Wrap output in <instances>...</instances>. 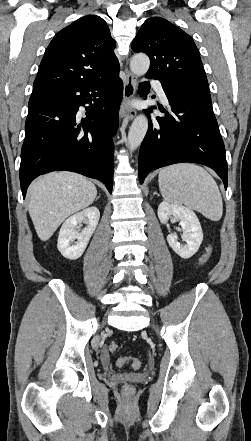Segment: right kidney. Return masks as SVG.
Instances as JSON below:
<instances>
[{
    "label": "right kidney",
    "instance_id": "obj_1",
    "mask_svg": "<svg viewBox=\"0 0 251 441\" xmlns=\"http://www.w3.org/2000/svg\"><path fill=\"white\" fill-rule=\"evenodd\" d=\"M99 218L98 208L89 207L74 214L63 223L58 236L57 248L65 258L76 260L82 256L98 225ZM84 220L87 222V227L78 233L75 227ZM75 240L77 241L75 242Z\"/></svg>",
    "mask_w": 251,
    "mask_h": 441
}]
</instances>
